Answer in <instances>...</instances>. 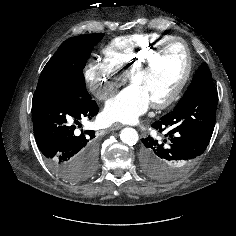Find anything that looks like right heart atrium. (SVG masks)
Returning a JSON list of instances; mask_svg holds the SVG:
<instances>
[{"mask_svg":"<svg viewBox=\"0 0 236 236\" xmlns=\"http://www.w3.org/2000/svg\"><path fill=\"white\" fill-rule=\"evenodd\" d=\"M84 78L91 93L104 101L124 84L127 76L106 59H92L85 66Z\"/></svg>","mask_w":236,"mask_h":236,"instance_id":"d8ad5b80","label":"right heart atrium"}]
</instances>
